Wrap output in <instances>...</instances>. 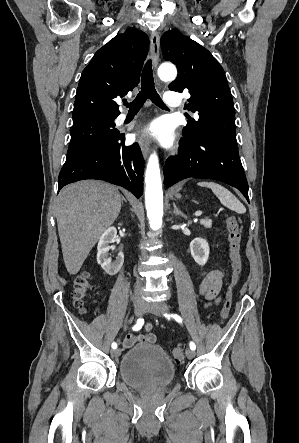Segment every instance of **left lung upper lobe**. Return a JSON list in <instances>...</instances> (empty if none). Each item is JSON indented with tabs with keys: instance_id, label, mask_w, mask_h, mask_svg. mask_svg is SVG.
<instances>
[{
	"instance_id": "left-lung-upper-lobe-1",
	"label": "left lung upper lobe",
	"mask_w": 299,
	"mask_h": 443,
	"mask_svg": "<svg viewBox=\"0 0 299 443\" xmlns=\"http://www.w3.org/2000/svg\"><path fill=\"white\" fill-rule=\"evenodd\" d=\"M161 47L165 60L179 68L169 88L188 89V110L199 115L188 118L183 137L218 135L236 142L235 108L222 66L207 49L178 31L165 32Z\"/></svg>"
}]
</instances>
